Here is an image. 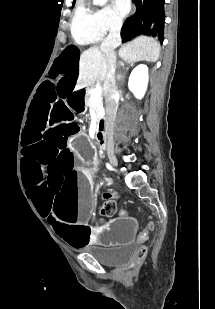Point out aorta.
<instances>
[{"mask_svg": "<svg viewBox=\"0 0 215 309\" xmlns=\"http://www.w3.org/2000/svg\"><path fill=\"white\" fill-rule=\"evenodd\" d=\"M93 4H98V6H104L107 0H92Z\"/></svg>", "mask_w": 215, "mask_h": 309, "instance_id": "aorta-1", "label": "aorta"}]
</instances>
